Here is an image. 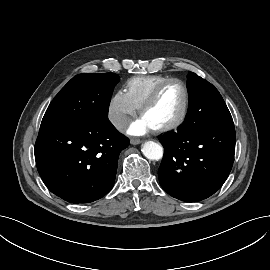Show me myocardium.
I'll use <instances>...</instances> for the list:
<instances>
[{"label": "myocardium", "instance_id": "myocardium-1", "mask_svg": "<svg viewBox=\"0 0 270 270\" xmlns=\"http://www.w3.org/2000/svg\"><path fill=\"white\" fill-rule=\"evenodd\" d=\"M172 83H179L183 87V90H184L183 107L180 114L174 120H172L171 122L167 124L154 128V130L158 133L174 130L180 127L186 120L188 112H189V108H190V92H189V88L187 84L179 78H170L168 80H165L159 83L153 89V91L149 94V96L146 98V100L143 102V104L139 108V114L142 116L154 104V102L157 100L162 90L166 86Z\"/></svg>", "mask_w": 270, "mask_h": 270}]
</instances>
